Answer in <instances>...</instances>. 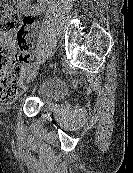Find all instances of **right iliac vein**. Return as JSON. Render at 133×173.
I'll list each match as a JSON object with an SVG mask.
<instances>
[{"mask_svg":"<svg viewBox=\"0 0 133 173\" xmlns=\"http://www.w3.org/2000/svg\"><path fill=\"white\" fill-rule=\"evenodd\" d=\"M37 74H38V67L31 69L26 76V81L28 83L31 82L36 77Z\"/></svg>","mask_w":133,"mask_h":173,"instance_id":"right-iliac-vein-1","label":"right iliac vein"}]
</instances>
